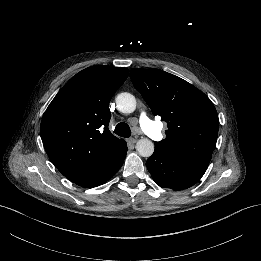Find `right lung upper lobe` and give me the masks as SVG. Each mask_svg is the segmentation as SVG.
I'll use <instances>...</instances> for the list:
<instances>
[{"mask_svg": "<svg viewBox=\"0 0 261 261\" xmlns=\"http://www.w3.org/2000/svg\"><path fill=\"white\" fill-rule=\"evenodd\" d=\"M128 73L120 67H88L63 86L45 111L40 128L44 148L70 181L99 172L127 147L108 124L110 99Z\"/></svg>", "mask_w": 261, "mask_h": 261, "instance_id": "obj_1", "label": "right lung upper lobe"}]
</instances>
